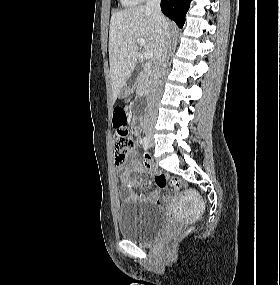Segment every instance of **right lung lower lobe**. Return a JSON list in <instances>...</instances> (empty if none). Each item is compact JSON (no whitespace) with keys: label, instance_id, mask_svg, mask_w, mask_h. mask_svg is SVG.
Returning <instances> with one entry per match:
<instances>
[{"label":"right lung lower lobe","instance_id":"1","mask_svg":"<svg viewBox=\"0 0 280 285\" xmlns=\"http://www.w3.org/2000/svg\"><path fill=\"white\" fill-rule=\"evenodd\" d=\"M191 0H161V10L179 27H183Z\"/></svg>","mask_w":280,"mask_h":285}]
</instances>
